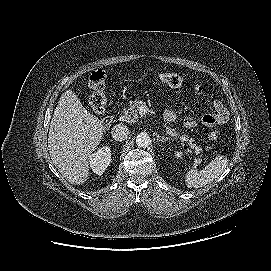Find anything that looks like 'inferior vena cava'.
<instances>
[{"mask_svg":"<svg viewBox=\"0 0 271 271\" xmlns=\"http://www.w3.org/2000/svg\"><path fill=\"white\" fill-rule=\"evenodd\" d=\"M111 134L114 140L123 141L128 137L129 129L123 124H117L112 128Z\"/></svg>","mask_w":271,"mask_h":271,"instance_id":"obj_1","label":"inferior vena cava"}]
</instances>
